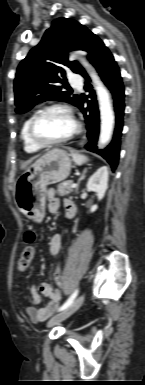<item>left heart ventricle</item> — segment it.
Segmentation results:
<instances>
[{
	"label": "left heart ventricle",
	"mask_w": 145,
	"mask_h": 385,
	"mask_svg": "<svg viewBox=\"0 0 145 385\" xmlns=\"http://www.w3.org/2000/svg\"><path fill=\"white\" fill-rule=\"evenodd\" d=\"M74 128L75 123L67 113L53 110L39 119L36 134L43 141H55L68 136Z\"/></svg>",
	"instance_id": "obj_1"
}]
</instances>
